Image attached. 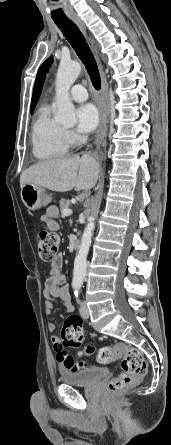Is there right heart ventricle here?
Returning <instances> with one entry per match:
<instances>
[{"mask_svg":"<svg viewBox=\"0 0 171 445\" xmlns=\"http://www.w3.org/2000/svg\"><path fill=\"white\" fill-rule=\"evenodd\" d=\"M33 154L38 159L63 156L70 147V138L65 129L52 117L48 106L42 107L32 127Z\"/></svg>","mask_w":171,"mask_h":445,"instance_id":"1","label":"right heart ventricle"}]
</instances>
